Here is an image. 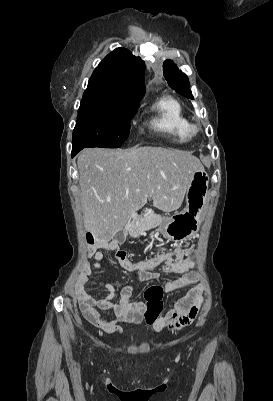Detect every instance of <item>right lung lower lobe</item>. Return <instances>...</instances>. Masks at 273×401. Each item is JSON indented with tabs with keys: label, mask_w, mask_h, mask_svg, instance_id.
Returning a JSON list of instances; mask_svg holds the SVG:
<instances>
[{
	"label": "right lung lower lobe",
	"mask_w": 273,
	"mask_h": 401,
	"mask_svg": "<svg viewBox=\"0 0 273 401\" xmlns=\"http://www.w3.org/2000/svg\"><path fill=\"white\" fill-rule=\"evenodd\" d=\"M83 148H72V157H74L79 151H81Z\"/></svg>",
	"instance_id": "obj_1"
}]
</instances>
